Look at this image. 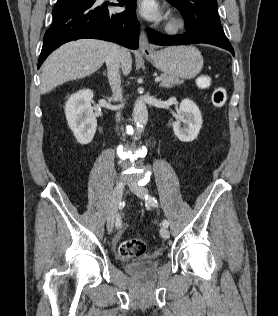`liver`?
Here are the masks:
<instances>
[{
  "instance_id": "1",
  "label": "liver",
  "mask_w": 278,
  "mask_h": 316,
  "mask_svg": "<svg viewBox=\"0 0 278 316\" xmlns=\"http://www.w3.org/2000/svg\"><path fill=\"white\" fill-rule=\"evenodd\" d=\"M112 48V43L97 39H79L62 45L43 64L41 93L93 74L106 61ZM121 68L124 75L132 68V58L126 49H122Z\"/></svg>"
}]
</instances>
